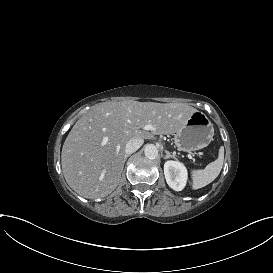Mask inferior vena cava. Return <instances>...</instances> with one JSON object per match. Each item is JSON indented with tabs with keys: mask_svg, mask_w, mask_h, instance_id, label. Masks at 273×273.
Here are the masks:
<instances>
[{
	"mask_svg": "<svg viewBox=\"0 0 273 273\" xmlns=\"http://www.w3.org/2000/svg\"><path fill=\"white\" fill-rule=\"evenodd\" d=\"M143 139L141 138H132L128 141V143L126 144V148H125V153L126 154H132L134 152H136L143 144Z\"/></svg>",
	"mask_w": 273,
	"mask_h": 273,
	"instance_id": "1",
	"label": "inferior vena cava"
}]
</instances>
